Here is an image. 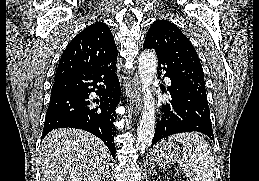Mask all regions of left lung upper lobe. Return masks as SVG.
<instances>
[{
	"label": "left lung upper lobe",
	"mask_w": 259,
	"mask_h": 181,
	"mask_svg": "<svg viewBox=\"0 0 259 181\" xmlns=\"http://www.w3.org/2000/svg\"><path fill=\"white\" fill-rule=\"evenodd\" d=\"M144 48L155 49L179 83L207 101L204 73L196 50L181 30L166 20H158L148 30Z\"/></svg>",
	"instance_id": "5c2ea615"
}]
</instances>
